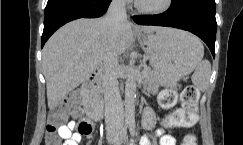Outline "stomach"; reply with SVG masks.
<instances>
[{
  "label": "stomach",
  "instance_id": "0dacf381",
  "mask_svg": "<svg viewBox=\"0 0 243 145\" xmlns=\"http://www.w3.org/2000/svg\"><path fill=\"white\" fill-rule=\"evenodd\" d=\"M150 65L159 76V84L173 87L196 67L203 46L194 35L173 28L138 34Z\"/></svg>",
  "mask_w": 243,
  "mask_h": 145
}]
</instances>
